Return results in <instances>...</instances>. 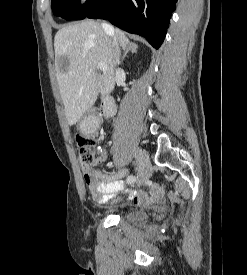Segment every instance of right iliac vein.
Masks as SVG:
<instances>
[{"label": "right iliac vein", "instance_id": "right-iliac-vein-1", "mask_svg": "<svg viewBox=\"0 0 247 275\" xmlns=\"http://www.w3.org/2000/svg\"><path fill=\"white\" fill-rule=\"evenodd\" d=\"M136 157H137V164H138V174H137L136 184L140 186L150 176L149 156L144 150L138 149L136 152Z\"/></svg>", "mask_w": 247, "mask_h": 275}]
</instances>
